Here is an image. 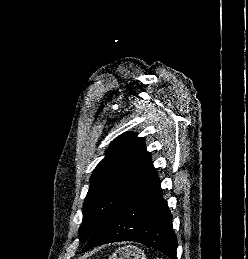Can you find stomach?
Listing matches in <instances>:
<instances>
[{
    "label": "stomach",
    "mask_w": 248,
    "mask_h": 259,
    "mask_svg": "<svg viewBox=\"0 0 248 259\" xmlns=\"http://www.w3.org/2000/svg\"><path fill=\"white\" fill-rule=\"evenodd\" d=\"M109 259H146V256L137 246L127 245L116 250Z\"/></svg>",
    "instance_id": "stomach-1"
}]
</instances>
